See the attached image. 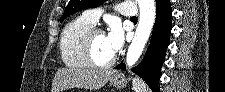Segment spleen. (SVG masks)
Instances as JSON below:
<instances>
[{
  "instance_id": "3e777b00",
  "label": "spleen",
  "mask_w": 225,
  "mask_h": 92,
  "mask_svg": "<svg viewBox=\"0 0 225 92\" xmlns=\"http://www.w3.org/2000/svg\"><path fill=\"white\" fill-rule=\"evenodd\" d=\"M133 90L135 92H148V87L140 78L133 79Z\"/></svg>"
}]
</instances>
